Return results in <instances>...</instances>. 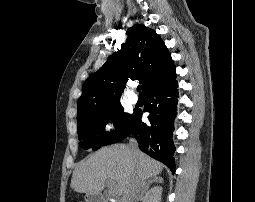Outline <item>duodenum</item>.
<instances>
[{
    "label": "duodenum",
    "mask_w": 255,
    "mask_h": 202,
    "mask_svg": "<svg viewBox=\"0 0 255 202\" xmlns=\"http://www.w3.org/2000/svg\"><path fill=\"white\" fill-rule=\"evenodd\" d=\"M88 202H105V200L101 195L91 193L88 195Z\"/></svg>",
    "instance_id": "obj_1"
}]
</instances>
